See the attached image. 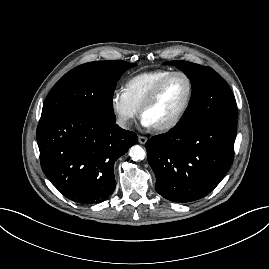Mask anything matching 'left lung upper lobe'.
Returning a JSON list of instances; mask_svg holds the SVG:
<instances>
[{
    "label": "left lung upper lobe",
    "mask_w": 269,
    "mask_h": 269,
    "mask_svg": "<svg viewBox=\"0 0 269 269\" xmlns=\"http://www.w3.org/2000/svg\"><path fill=\"white\" fill-rule=\"evenodd\" d=\"M164 64L175 65L192 84L190 104L174 128L187 129L214 117H237V105L230 87L212 68L180 60Z\"/></svg>",
    "instance_id": "5c2ea615"
}]
</instances>
